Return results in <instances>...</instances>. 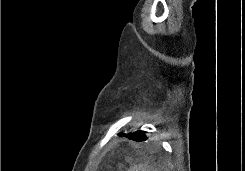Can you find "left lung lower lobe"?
I'll return each instance as SVG.
<instances>
[{
	"instance_id": "1",
	"label": "left lung lower lobe",
	"mask_w": 245,
	"mask_h": 171,
	"mask_svg": "<svg viewBox=\"0 0 245 171\" xmlns=\"http://www.w3.org/2000/svg\"><path fill=\"white\" fill-rule=\"evenodd\" d=\"M120 136L127 137L130 140L133 141H145L147 137L145 136L144 132H134L130 134H119Z\"/></svg>"
}]
</instances>
